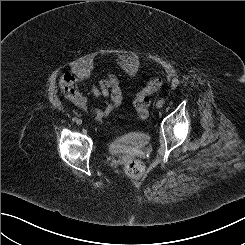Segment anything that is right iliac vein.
Returning <instances> with one entry per match:
<instances>
[{
  "mask_svg": "<svg viewBox=\"0 0 245 245\" xmlns=\"http://www.w3.org/2000/svg\"><path fill=\"white\" fill-rule=\"evenodd\" d=\"M76 123H77L78 125H81V124H82V120H81V119H77Z\"/></svg>",
  "mask_w": 245,
  "mask_h": 245,
  "instance_id": "right-iliac-vein-1",
  "label": "right iliac vein"
}]
</instances>
